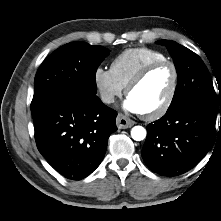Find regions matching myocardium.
Instances as JSON below:
<instances>
[{
  "instance_id": "obj_1",
  "label": "myocardium",
  "mask_w": 221,
  "mask_h": 221,
  "mask_svg": "<svg viewBox=\"0 0 221 221\" xmlns=\"http://www.w3.org/2000/svg\"><path fill=\"white\" fill-rule=\"evenodd\" d=\"M170 66L173 72V79H172V84H171V88L169 90V93L167 95V97L165 98V100L163 101V103L156 108L153 111L150 112H146V113H142L143 117L148 119V120H153V119H157L162 117L171 107L176 92H177V88H178V82H179V72H178V68L175 65V63H173L170 60H158V61H154L151 62L149 64H147L146 66H144L132 79L131 81L128 83V85L126 86V94L127 96L130 95V93L156 68L161 67V66Z\"/></svg>"
}]
</instances>
